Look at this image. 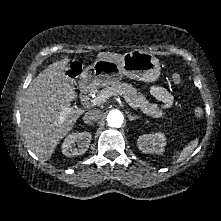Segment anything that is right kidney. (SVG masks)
Instances as JSON below:
<instances>
[{"label": "right kidney", "mask_w": 221, "mask_h": 221, "mask_svg": "<svg viewBox=\"0 0 221 221\" xmlns=\"http://www.w3.org/2000/svg\"><path fill=\"white\" fill-rule=\"evenodd\" d=\"M91 138L92 135L89 132L68 135L62 144V153L67 157L84 154L90 146Z\"/></svg>", "instance_id": "obj_1"}]
</instances>
